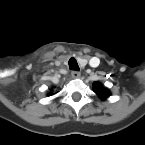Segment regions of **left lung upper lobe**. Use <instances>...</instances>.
I'll list each match as a JSON object with an SVG mask.
<instances>
[{"label": "left lung upper lobe", "instance_id": "left-lung-upper-lobe-1", "mask_svg": "<svg viewBox=\"0 0 145 145\" xmlns=\"http://www.w3.org/2000/svg\"><path fill=\"white\" fill-rule=\"evenodd\" d=\"M93 89L96 92V94L102 99H106L107 97L110 96V91L107 89L101 88L100 85L97 83L94 84Z\"/></svg>", "mask_w": 145, "mask_h": 145}]
</instances>
